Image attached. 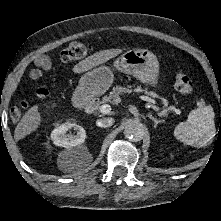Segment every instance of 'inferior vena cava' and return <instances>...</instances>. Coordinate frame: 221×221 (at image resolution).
<instances>
[{"label":"inferior vena cava","mask_w":221,"mask_h":221,"mask_svg":"<svg viewBox=\"0 0 221 221\" xmlns=\"http://www.w3.org/2000/svg\"><path fill=\"white\" fill-rule=\"evenodd\" d=\"M113 123H114V121L112 118H102L97 121V125L99 127H104V128L112 126Z\"/></svg>","instance_id":"602c4592"}]
</instances>
